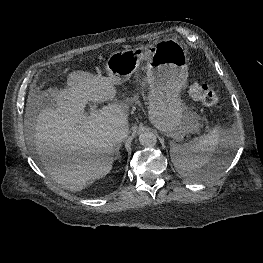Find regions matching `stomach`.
<instances>
[{"label":"stomach","mask_w":263,"mask_h":263,"mask_svg":"<svg viewBox=\"0 0 263 263\" xmlns=\"http://www.w3.org/2000/svg\"><path fill=\"white\" fill-rule=\"evenodd\" d=\"M146 64L149 93V119L160 131L176 141L197 131V116L190 113L180 98L188 77L187 54L175 39L165 38L153 45L110 54L106 69L114 85L126 82Z\"/></svg>","instance_id":"stomach-1"}]
</instances>
